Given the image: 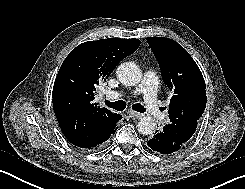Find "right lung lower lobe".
<instances>
[{"label":"right lung lower lobe","instance_id":"obj_1","mask_svg":"<svg viewBox=\"0 0 245 189\" xmlns=\"http://www.w3.org/2000/svg\"><path fill=\"white\" fill-rule=\"evenodd\" d=\"M107 127H108V124H106L103 118L98 119L96 122V133H95L94 140L89 144L77 145V146L81 148H86V149H97L102 144H104L111 137V135L115 132V129L113 131H109Z\"/></svg>","mask_w":245,"mask_h":189}]
</instances>
